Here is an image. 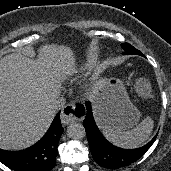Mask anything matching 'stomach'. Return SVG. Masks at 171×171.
<instances>
[{"mask_svg": "<svg viewBox=\"0 0 171 171\" xmlns=\"http://www.w3.org/2000/svg\"><path fill=\"white\" fill-rule=\"evenodd\" d=\"M98 98L102 104V114L98 117L103 124L124 131L139 122L141 114L129 99L121 80L111 78L104 82Z\"/></svg>", "mask_w": 171, "mask_h": 171, "instance_id": "0dacf381", "label": "stomach"}]
</instances>
